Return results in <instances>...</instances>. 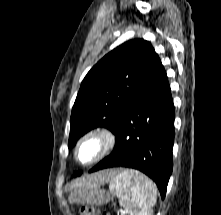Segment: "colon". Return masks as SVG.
I'll return each instance as SVG.
<instances>
[{"label":"colon","instance_id":"obj_1","mask_svg":"<svg viewBox=\"0 0 221 215\" xmlns=\"http://www.w3.org/2000/svg\"><path fill=\"white\" fill-rule=\"evenodd\" d=\"M80 215H108L95 207H84L80 211Z\"/></svg>","mask_w":221,"mask_h":215}]
</instances>
